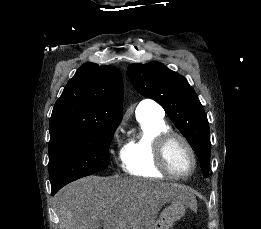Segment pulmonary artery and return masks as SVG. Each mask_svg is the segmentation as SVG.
Wrapping results in <instances>:
<instances>
[{
  "instance_id": "obj_1",
  "label": "pulmonary artery",
  "mask_w": 261,
  "mask_h": 229,
  "mask_svg": "<svg viewBox=\"0 0 261 229\" xmlns=\"http://www.w3.org/2000/svg\"><path fill=\"white\" fill-rule=\"evenodd\" d=\"M136 111L138 112H152L155 113L157 116H163L164 115V110L163 108L156 103L155 101L151 99H143L141 100L136 108ZM144 114H137L136 117L140 118L143 117Z\"/></svg>"
}]
</instances>
